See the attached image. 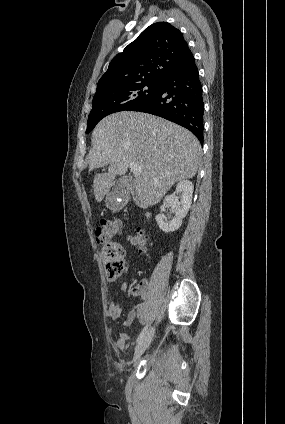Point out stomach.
<instances>
[{
    "instance_id": "1",
    "label": "stomach",
    "mask_w": 285,
    "mask_h": 424,
    "mask_svg": "<svg viewBox=\"0 0 285 424\" xmlns=\"http://www.w3.org/2000/svg\"><path fill=\"white\" fill-rule=\"evenodd\" d=\"M106 205L110 209H116L119 207V203L116 201V199L111 197L110 193L107 194Z\"/></svg>"
}]
</instances>
